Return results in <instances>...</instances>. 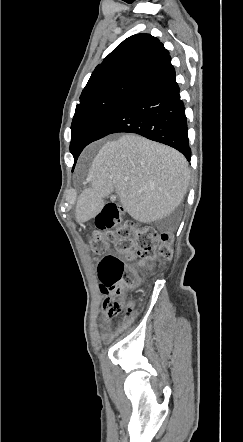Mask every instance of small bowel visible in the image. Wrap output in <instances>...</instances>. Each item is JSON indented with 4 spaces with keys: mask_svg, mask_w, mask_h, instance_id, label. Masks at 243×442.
I'll list each match as a JSON object with an SVG mask.
<instances>
[{
    "mask_svg": "<svg viewBox=\"0 0 243 442\" xmlns=\"http://www.w3.org/2000/svg\"><path fill=\"white\" fill-rule=\"evenodd\" d=\"M104 319L102 322V328L107 331V332H112L113 329V322H112V318H113V313L110 311L109 308H106L104 310Z\"/></svg>",
    "mask_w": 243,
    "mask_h": 442,
    "instance_id": "c3829d8e",
    "label": "small bowel"
}]
</instances>
